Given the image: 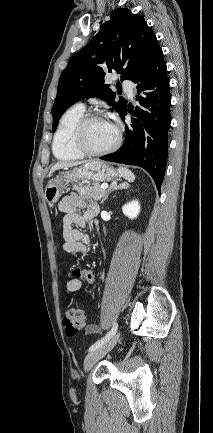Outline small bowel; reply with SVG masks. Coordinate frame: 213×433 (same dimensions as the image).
<instances>
[{
    "instance_id": "small-bowel-1",
    "label": "small bowel",
    "mask_w": 213,
    "mask_h": 433,
    "mask_svg": "<svg viewBox=\"0 0 213 433\" xmlns=\"http://www.w3.org/2000/svg\"><path fill=\"white\" fill-rule=\"evenodd\" d=\"M59 210L64 214L62 218L63 251L67 253H87L90 244L89 235L82 229L91 227L98 214V205L89 197L77 193H70L59 204ZM76 225L78 228H74ZM73 278L67 281L65 289L76 292L84 283L93 284L95 273L90 269L73 268ZM89 333L98 332L96 325L87 327Z\"/></svg>"
}]
</instances>
